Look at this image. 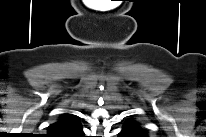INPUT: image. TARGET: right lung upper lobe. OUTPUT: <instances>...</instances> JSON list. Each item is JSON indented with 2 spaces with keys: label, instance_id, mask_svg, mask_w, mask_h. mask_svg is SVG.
<instances>
[{
  "label": "right lung upper lobe",
  "instance_id": "right-lung-upper-lobe-1",
  "mask_svg": "<svg viewBox=\"0 0 206 137\" xmlns=\"http://www.w3.org/2000/svg\"><path fill=\"white\" fill-rule=\"evenodd\" d=\"M50 137H80L83 135L78 118L69 113L63 114L57 122L48 127Z\"/></svg>",
  "mask_w": 206,
  "mask_h": 137
}]
</instances>
